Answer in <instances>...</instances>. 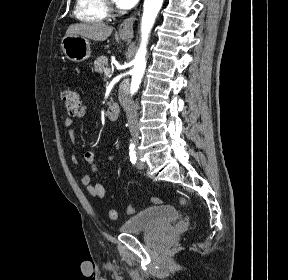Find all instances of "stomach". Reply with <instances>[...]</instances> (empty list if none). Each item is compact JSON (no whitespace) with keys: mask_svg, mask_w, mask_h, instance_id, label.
Instances as JSON below:
<instances>
[{"mask_svg":"<svg viewBox=\"0 0 288 280\" xmlns=\"http://www.w3.org/2000/svg\"><path fill=\"white\" fill-rule=\"evenodd\" d=\"M127 41V37H121ZM61 48L65 56L74 62H82L88 59L91 55L90 42L77 35H66L62 39Z\"/></svg>","mask_w":288,"mask_h":280,"instance_id":"0dacf381","label":"stomach"}]
</instances>
